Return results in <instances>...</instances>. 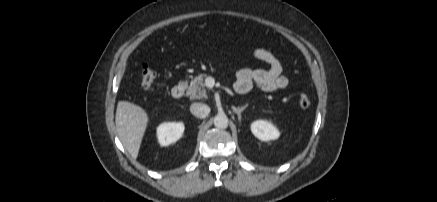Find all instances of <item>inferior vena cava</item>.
Here are the masks:
<instances>
[{
    "label": "inferior vena cava",
    "instance_id": "obj_1",
    "mask_svg": "<svg viewBox=\"0 0 437 202\" xmlns=\"http://www.w3.org/2000/svg\"><path fill=\"white\" fill-rule=\"evenodd\" d=\"M190 111L198 118H206L210 113V108L203 103H192L190 106Z\"/></svg>",
    "mask_w": 437,
    "mask_h": 202
}]
</instances>
